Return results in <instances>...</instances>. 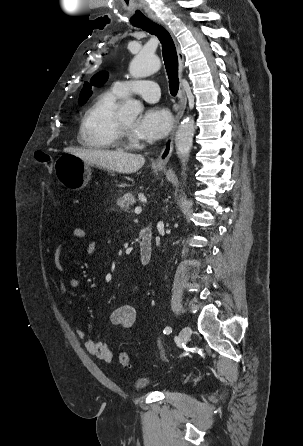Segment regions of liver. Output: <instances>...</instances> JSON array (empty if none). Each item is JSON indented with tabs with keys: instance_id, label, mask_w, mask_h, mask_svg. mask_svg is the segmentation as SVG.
<instances>
[{
	"instance_id": "obj_1",
	"label": "liver",
	"mask_w": 303,
	"mask_h": 446,
	"mask_svg": "<svg viewBox=\"0 0 303 446\" xmlns=\"http://www.w3.org/2000/svg\"><path fill=\"white\" fill-rule=\"evenodd\" d=\"M85 162L114 172L131 174L143 167L145 158L142 155L95 149H78L68 147L64 150Z\"/></svg>"
}]
</instances>
